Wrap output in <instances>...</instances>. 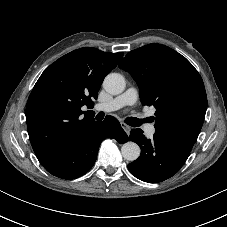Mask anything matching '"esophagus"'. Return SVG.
I'll return each instance as SVG.
<instances>
[{"label":"esophagus","instance_id":"1","mask_svg":"<svg viewBox=\"0 0 227 227\" xmlns=\"http://www.w3.org/2000/svg\"><path fill=\"white\" fill-rule=\"evenodd\" d=\"M121 126L125 130V132L129 135L131 131V127L125 124L124 122H121Z\"/></svg>","mask_w":227,"mask_h":227}]
</instances>
